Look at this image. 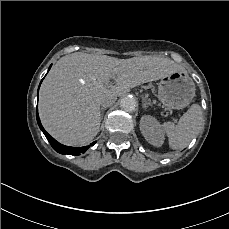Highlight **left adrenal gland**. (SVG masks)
Wrapping results in <instances>:
<instances>
[{"instance_id": "obj_1", "label": "left adrenal gland", "mask_w": 229, "mask_h": 229, "mask_svg": "<svg viewBox=\"0 0 229 229\" xmlns=\"http://www.w3.org/2000/svg\"><path fill=\"white\" fill-rule=\"evenodd\" d=\"M143 107H144V108H147V105H144Z\"/></svg>"}]
</instances>
